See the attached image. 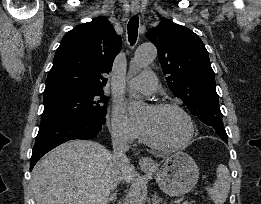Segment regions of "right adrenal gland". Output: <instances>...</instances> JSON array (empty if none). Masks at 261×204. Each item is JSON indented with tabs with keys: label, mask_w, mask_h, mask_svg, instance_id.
Segmentation results:
<instances>
[{
	"label": "right adrenal gland",
	"mask_w": 261,
	"mask_h": 204,
	"mask_svg": "<svg viewBox=\"0 0 261 204\" xmlns=\"http://www.w3.org/2000/svg\"><path fill=\"white\" fill-rule=\"evenodd\" d=\"M116 195H117V190H115V191L113 190L111 195H110V197H109V199H108L107 204H109L112 201H115L116 200Z\"/></svg>",
	"instance_id": "1"
}]
</instances>
